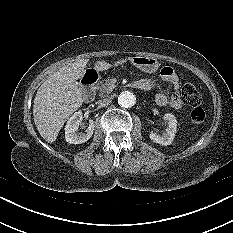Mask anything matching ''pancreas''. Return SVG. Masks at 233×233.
<instances>
[{
	"mask_svg": "<svg viewBox=\"0 0 233 233\" xmlns=\"http://www.w3.org/2000/svg\"><path fill=\"white\" fill-rule=\"evenodd\" d=\"M97 88L99 90L100 97H105L113 91L115 85L112 84L110 80H106L105 82H101Z\"/></svg>",
	"mask_w": 233,
	"mask_h": 233,
	"instance_id": "1",
	"label": "pancreas"
}]
</instances>
